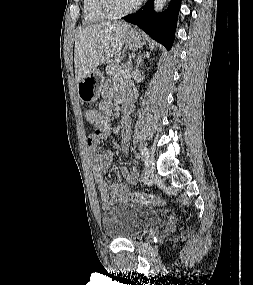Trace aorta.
Listing matches in <instances>:
<instances>
[{
    "mask_svg": "<svg viewBox=\"0 0 253 285\" xmlns=\"http://www.w3.org/2000/svg\"><path fill=\"white\" fill-rule=\"evenodd\" d=\"M167 0H154L153 9L155 12H160L163 10Z\"/></svg>",
    "mask_w": 253,
    "mask_h": 285,
    "instance_id": "aorta-1",
    "label": "aorta"
}]
</instances>
